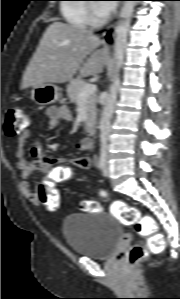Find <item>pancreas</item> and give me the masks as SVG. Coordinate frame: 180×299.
I'll return each mask as SVG.
<instances>
[{
    "instance_id": "obj_1",
    "label": "pancreas",
    "mask_w": 180,
    "mask_h": 299,
    "mask_svg": "<svg viewBox=\"0 0 180 299\" xmlns=\"http://www.w3.org/2000/svg\"><path fill=\"white\" fill-rule=\"evenodd\" d=\"M87 85V82L81 78H76L70 81L67 85V95L70 98L71 102L77 104L79 101V93ZM97 97L96 95H90L86 98V113L88 125L92 119L95 118L97 109H96Z\"/></svg>"
}]
</instances>
